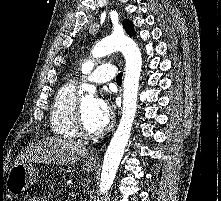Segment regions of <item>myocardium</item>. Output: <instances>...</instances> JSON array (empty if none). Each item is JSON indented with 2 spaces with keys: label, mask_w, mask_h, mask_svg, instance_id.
Here are the masks:
<instances>
[{
  "label": "myocardium",
  "mask_w": 221,
  "mask_h": 201,
  "mask_svg": "<svg viewBox=\"0 0 221 201\" xmlns=\"http://www.w3.org/2000/svg\"><path fill=\"white\" fill-rule=\"evenodd\" d=\"M111 127V122H107L105 126L97 132L89 131L84 123L82 101H78L75 111V128L77 134L83 138L95 139L104 135Z\"/></svg>",
  "instance_id": "1"
}]
</instances>
